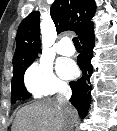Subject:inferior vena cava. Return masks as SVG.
Instances as JSON below:
<instances>
[{"instance_id": "602c4592", "label": "inferior vena cava", "mask_w": 117, "mask_h": 131, "mask_svg": "<svg viewBox=\"0 0 117 131\" xmlns=\"http://www.w3.org/2000/svg\"><path fill=\"white\" fill-rule=\"evenodd\" d=\"M72 95L71 88L68 85H63L58 90L57 100L65 108V111L68 115V129L70 131L73 127V108L69 102V99Z\"/></svg>"}]
</instances>
